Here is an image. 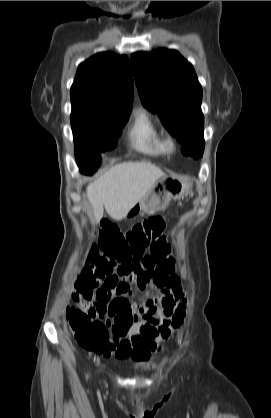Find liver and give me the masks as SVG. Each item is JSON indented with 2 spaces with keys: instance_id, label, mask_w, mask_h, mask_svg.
Wrapping results in <instances>:
<instances>
[{
  "instance_id": "1",
  "label": "liver",
  "mask_w": 271,
  "mask_h": 418,
  "mask_svg": "<svg viewBox=\"0 0 271 418\" xmlns=\"http://www.w3.org/2000/svg\"><path fill=\"white\" fill-rule=\"evenodd\" d=\"M165 173L149 162H124L113 166L86 188L93 208V220L98 223L104 213L114 220L124 219Z\"/></svg>"
}]
</instances>
